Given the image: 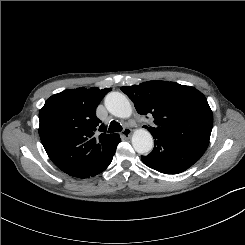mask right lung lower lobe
Returning a JSON list of instances; mask_svg holds the SVG:
<instances>
[{
  "instance_id": "right-lung-lower-lobe-1",
  "label": "right lung lower lobe",
  "mask_w": 245,
  "mask_h": 245,
  "mask_svg": "<svg viewBox=\"0 0 245 245\" xmlns=\"http://www.w3.org/2000/svg\"><path fill=\"white\" fill-rule=\"evenodd\" d=\"M121 141V140H120ZM119 141V142H120ZM118 145V144H117ZM115 151H116V149H115ZM115 151H114V153H113V155L115 154ZM113 155L110 157V159L108 160V162H107V164H106V168H107V166L111 163V161H112V157H113ZM105 168V169H106Z\"/></svg>"
}]
</instances>
